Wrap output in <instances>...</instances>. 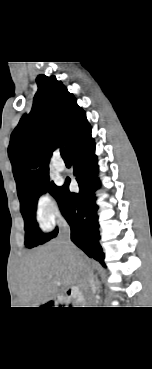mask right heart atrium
<instances>
[{"label": "right heart atrium", "instance_id": "obj_1", "mask_svg": "<svg viewBox=\"0 0 152 369\" xmlns=\"http://www.w3.org/2000/svg\"><path fill=\"white\" fill-rule=\"evenodd\" d=\"M60 206L49 192H42L36 200L35 217L42 230H50L60 217Z\"/></svg>", "mask_w": 152, "mask_h": 369}]
</instances>
